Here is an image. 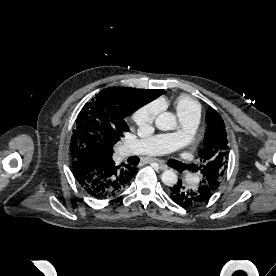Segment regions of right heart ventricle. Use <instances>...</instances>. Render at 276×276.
<instances>
[{
	"instance_id": "1",
	"label": "right heart ventricle",
	"mask_w": 276,
	"mask_h": 276,
	"mask_svg": "<svg viewBox=\"0 0 276 276\" xmlns=\"http://www.w3.org/2000/svg\"><path fill=\"white\" fill-rule=\"evenodd\" d=\"M173 104L180 118L187 116L199 117L200 115V104L189 97L180 96L174 100Z\"/></svg>"
}]
</instances>
